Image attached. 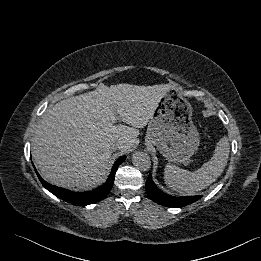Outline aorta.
Listing matches in <instances>:
<instances>
[{
    "instance_id": "1",
    "label": "aorta",
    "mask_w": 261,
    "mask_h": 261,
    "mask_svg": "<svg viewBox=\"0 0 261 261\" xmlns=\"http://www.w3.org/2000/svg\"><path fill=\"white\" fill-rule=\"evenodd\" d=\"M133 165L143 171H146L151 166V160L148 154L144 152H135L132 157Z\"/></svg>"
}]
</instances>
